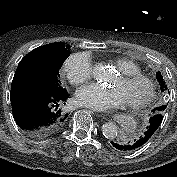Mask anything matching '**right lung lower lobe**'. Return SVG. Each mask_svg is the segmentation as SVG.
I'll list each match as a JSON object with an SVG mask.
<instances>
[{"instance_id":"right-lung-lower-lobe-1","label":"right lung lower lobe","mask_w":177,"mask_h":177,"mask_svg":"<svg viewBox=\"0 0 177 177\" xmlns=\"http://www.w3.org/2000/svg\"><path fill=\"white\" fill-rule=\"evenodd\" d=\"M14 119L31 138L42 139L56 134L67 122L64 109L69 98L67 91L52 93L32 88H11Z\"/></svg>"}]
</instances>
